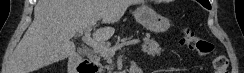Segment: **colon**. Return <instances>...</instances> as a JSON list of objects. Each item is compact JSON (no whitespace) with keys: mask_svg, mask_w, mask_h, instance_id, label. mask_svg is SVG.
<instances>
[{"mask_svg":"<svg viewBox=\"0 0 244 73\" xmlns=\"http://www.w3.org/2000/svg\"><path fill=\"white\" fill-rule=\"evenodd\" d=\"M181 33L184 45L201 56L211 58L215 73H228L227 57L223 53L217 51L212 42L196 36L188 27H183Z\"/></svg>","mask_w":244,"mask_h":73,"instance_id":"5ec220e1","label":"colon"}]
</instances>
